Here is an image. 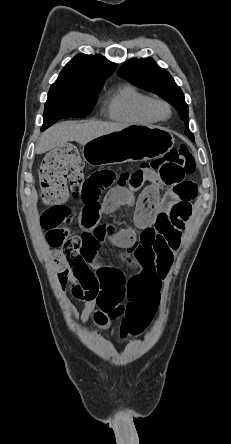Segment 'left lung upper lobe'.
<instances>
[{"mask_svg":"<svg viewBox=\"0 0 231 444\" xmlns=\"http://www.w3.org/2000/svg\"><path fill=\"white\" fill-rule=\"evenodd\" d=\"M117 74L133 85L166 99L179 112L188 127V105L182 90L169 72L157 66L153 59H131L118 70ZM185 134L194 140L189 129H186Z\"/></svg>","mask_w":231,"mask_h":444,"instance_id":"left-lung-upper-lobe-1","label":"left lung upper lobe"}]
</instances>
